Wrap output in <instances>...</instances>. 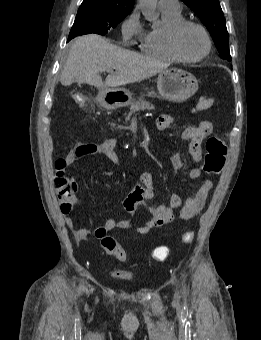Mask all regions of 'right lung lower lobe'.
<instances>
[{"label": "right lung lower lobe", "mask_w": 261, "mask_h": 340, "mask_svg": "<svg viewBox=\"0 0 261 340\" xmlns=\"http://www.w3.org/2000/svg\"><path fill=\"white\" fill-rule=\"evenodd\" d=\"M72 38H74V37H69L68 41L71 40Z\"/></svg>", "instance_id": "1"}]
</instances>
